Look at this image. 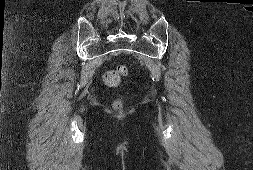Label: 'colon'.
Masks as SVG:
<instances>
[{
  "mask_svg": "<svg viewBox=\"0 0 253 170\" xmlns=\"http://www.w3.org/2000/svg\"><path fill=\"white\" fill-rule=\"evenodd\" d=\"M127 74L128 68L125 65H118L115 69L108 71L104 75V82L109 86L118 85Z\"/></svg>",
  "mask_w": 253,
  "mask_h": 170,
  "instance_id": "5ec220e1",
  "label": "colon"
}]
</instances>
